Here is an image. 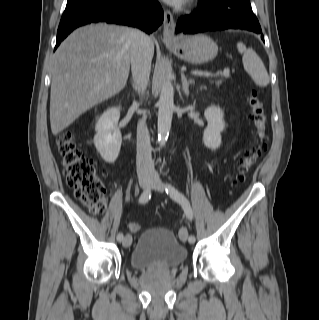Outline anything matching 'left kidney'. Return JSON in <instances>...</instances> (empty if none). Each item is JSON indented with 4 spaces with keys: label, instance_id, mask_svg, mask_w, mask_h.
Returning a JSON list of instances; mask_svg holds the SVG:
<instances>
[{
    "label": "left kidney",
    "instance_id": "1",
    "mask_svg": "<svg viewBox=\"0 0 319 320\" xmlns=\"http://www.w3.org/2000/svg\"><path fill=\"white\" fill-rule=\"evenodd\" d=\"M204 116L208 122L203 133L204 145L216 150L221 145V132L225 129L224 113L222 109L212 105L205 110Z\"/></svg>",
    "mask_w": 319,
    "mask_h": 320
}]
</instances>
